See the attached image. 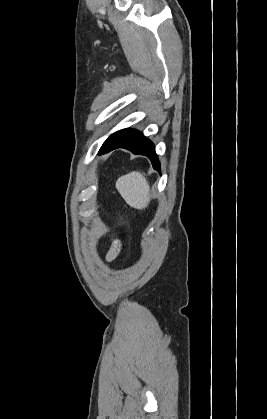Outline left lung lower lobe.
Here are the masks:
<instances>
[{
	"label": "left lung lower lobe",
	"instance_id": "1",
	"mask_svg": "<svg viewBox=\"0 0 267 419\" xmlns=\"http://www.w3.org/2000/svg\"><path fill=\"white\" fill-rule=\"evenodd\" d=\"M117 148H125L133 154L147 156L153 168L160 170V162L152 142L143 134L133 129H123L112 134L102 145L99 154L110 152Z\"/></svg>",
	"mask_w": 267,
	"mask_h": 419
}]
</instances>
